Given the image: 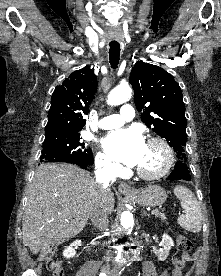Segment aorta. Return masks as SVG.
Segmentation results:
<instances>
[{"mask_svg":"<svg viewBox=\"0 0 221 276\" xmlns=\"http://www.w3.org/2000/svg\"><path fill=\"white\" fill-rule=\"evenodd\" d=\"M132 96V89L127 86H118L113 89L107 98V103L109 105H120L124 102H127ZM133 215L130 211H124L121 214V226L124 229L130 228L133 226Z\"/></svg>","mask_w":221,"mask_h":276,"instance_id":"aorta-1","label":"aorta"}]
</instances>
